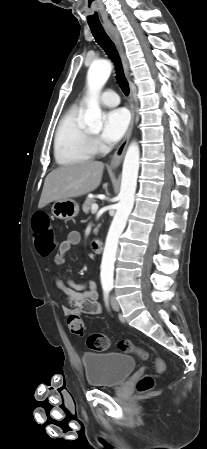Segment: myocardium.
<instances>
[{
    "mask_svg": "<svg viewBox=\"0 0 207 449\" xmlns=\"http://www.w3.org/2000/svg\"><path fill=\"white\" fill-rule=\"evenodd\" d=\"M86 133H87V136H88V139H89L91 145L94 147V143H95V141H96V136L93 135V134H91V133L88 132V131H86Z\"/></svg>",
    "mask_w": 207,
    "mask_h": 449,
    "instance_id": "obj_1",
    "label": "myocardium"
}]
</instances>
